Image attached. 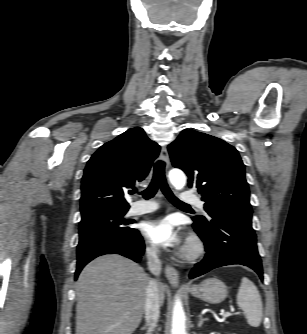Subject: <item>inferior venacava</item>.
<instances>
[{"label":"inferior vena cava","mask_w":307,"mask_h":334,"mask_svg":"<svg viewBox=\"0 0 307 334\" xmlns=\"http://www.w3.org/2000/svg\"><path fill=\"white\" fill-rule=\"evenodd\" d=\"M158 249L156 247L147 248V263L151 273L158 277L161 273V261L158 258ZM161 299L159 294V282L157 279H151L146 292L145 319L149 326V331L156 327L160 317Z\"/></svg>","instance_id":"1"}]
</instances>
